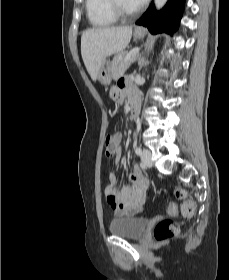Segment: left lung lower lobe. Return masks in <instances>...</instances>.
Masks as SVG:
<instances>
[{"instance_id":"0a47b994","label":"left lung lower lobe","mask_w":229,"mask_h":280,"mask_svg":"<svg viewBox=\"0 0 229 280\" xmlns=\"http://www.w3.org/2000/svg\"><path fill=\"white\" fill-rule=\"evenodd\" d=\"M185 0H169L160 11L151 4L145 14L136 22L137 25L147 27L152 33H173L179 24L183 13Z\"/></svg>"}]
</instances>
